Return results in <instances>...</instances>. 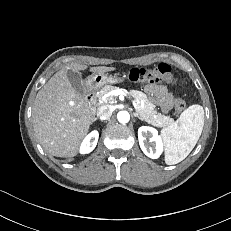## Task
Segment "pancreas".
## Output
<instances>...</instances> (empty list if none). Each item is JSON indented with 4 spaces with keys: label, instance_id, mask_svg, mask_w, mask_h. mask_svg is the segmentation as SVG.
Instances as JSON below:
<instances>
[{
    "label": "pancreas",
    "instance_id": "obj_1",
    "mask_svg": "<svg viewBox=\"0 0 231 231\" xmlns=\"http://www.w3.org/2000/svg\"><path fill=\"white\" fill-rule=\"evenodd\" d=\"M117 89L119 88L116 86L106 85L97 93L96 97L98 98L99 102H102L105 94ZM129 93L137 103V113L142 120H145L147 123L156 127H167L174 123L173 118L162 115L155 110V105L149 101L146 94L138 90H130ZM103 101L113 103L114 98L108 97Z\"/></svg>",
    "mask_w": 231,
    "mask_h": 231
}]
</instances>
